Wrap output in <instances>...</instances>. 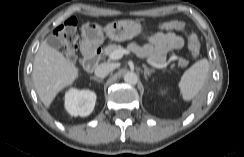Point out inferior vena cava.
<instances>
[{
	"label": "inferior vena cava",
	"instance_id": "inferior-vena-cava-1",
	"mask_svg": "<svg viewBox=\"0 0 244 157\" xmlns=\"http://www.w3.org/2000/svg\"><path fill=\"white\" fill-rule=\"evenodd\" d=\"M112 69L113 68L110 64L107 63L99 64L95 68V75L99 78H104L112 71Z\"/></svg>",
	"mask_w": 244,
	"mask_h": 157
}]
</instances>
